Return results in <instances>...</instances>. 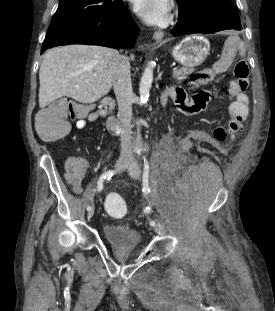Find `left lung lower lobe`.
Segmentation results:
<instances>
[{
  "instance_id": "0a47b994",
  "label": "left lung lower lobe",
  "mask_w": 275,
  "mask_h": 311,
  "mask_svg": "<svg viewBox=\"0 0 275 311\" xmlns=\"http://www.w3.org/2000/svg\"><path fill=\"white\" fill-rule=\"evenodd\" d=\"M241 29L240 18L235 17L229 9L204 8L189 14L179 13L178 22L171 30V34L181 36Z\"/></svg>"
}]
</instances>
